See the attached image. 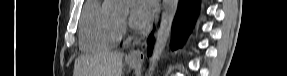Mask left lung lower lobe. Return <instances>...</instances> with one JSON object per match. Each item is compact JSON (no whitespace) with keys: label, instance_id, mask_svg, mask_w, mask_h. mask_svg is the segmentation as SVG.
Masks as SVG:
<instances>
[{"label":"left lung lower lobe","instance_id":"obj_1","mask_svg":"<svg viewBox=\"0 0 287 76\" xmlns=\"http://www.w3.org/2000/svg\"><path fill=\"white\" fill-rule=\"evenodd\" d=\"M199 8L200 0H179L177 15L172 27V50L180 48L188 37V34L191 32L192 26L198 16ZM152 37L153 36L151 34L148 39V55L152 52Z\"/></svg>","mask_w":287,"mask_h":76}]
</instances>
